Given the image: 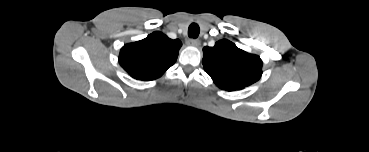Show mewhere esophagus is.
<instances>
[{
  "mask_svg": "<svg viewBox=\"0 0 369 152\" xmlns=\"http://www.w3.org/2000/svg\"><path fill=\"white\" fill-rule=\"evenodd\" d=\"M187 44L190 46L198 47L200 45V41L198 39H190L187 41Z\"/></svg>",
  "mask_w": 369,
  "mask_h": 152,
  "instance_id": "obj_1",
  "label": "esophagus"
}]
</instances>
